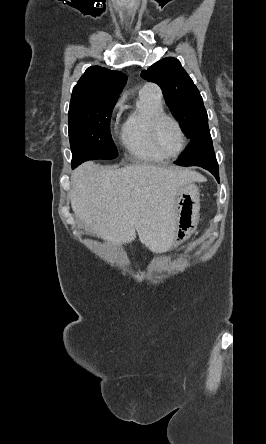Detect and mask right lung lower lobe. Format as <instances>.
Segmentation results:
<instances>
[{"instance_id":"1","label":"right lung lower lobe","mask_w":266,"mask_h":444,"mask_svg":"<svg viewBox=\"0 0 266 444\" xmlns=\"http://www.w3.org/2000/svg\"><path fill=\"white\" fill-rule=\"evenodd\" d=\"M78 165H72V168L74 169V168H76Z\"/></svg>"}]
</instances>
